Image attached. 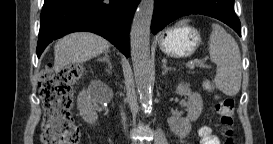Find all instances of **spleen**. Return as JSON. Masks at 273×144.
<instances>
[{"label": "spleen", "mask_w": 273, "mask_h": 144, "mask_svg": "<svg viewBox=\"0 0 273 144\" xmlns=\"http://www.w3.org/2000/svg\"><path fill=\"white\" fill-rule=\"evenodd\" d=\"M189 20L178 23L182 25ZM208 51L217 71L214 79L216 87L226 95H236L241 87V55L235 39L218 24H212Z\"/></svg>", "instance_id": "1"}]
</instances>
